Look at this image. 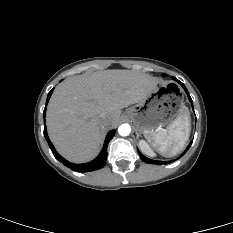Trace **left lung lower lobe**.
<instances>
[{
	"label": "left lung lower lobe",
	"mask_w": 233,
	"mask_h": 233,
	"mask_svg": "<svg viewBox=\"0 0 233 233\" xmlns=\"http://www.w3.org/2000/svg\"><path fill=\"white\" fill-rule=\"evenodd\" d=\"M173 79L176 80V81L184 88L185 92H186L187 95H188V99H189V101L191 102V104H192V106H193V101H192V99H191V97H190V95H189V93H188L186 87L184 86V84H183L182 82H180L179 80H177L176 78H174V77H173ZM192 142H193V140L190 142V144L188 145V147H187L186 150L182 153L181 156H183V155L187 152V150H188L189 147L191 146ZM137 151H138V153H139L141 159H142L144 162L149 163V164L162 165V164H168V163L174 162V160L164 161V162H163V161L152 160V159H149V158L145 157L138 149H137ZM181 156H180V157H181ZM180 157H179V158H180ZM179 158H177V159H179Z\"/></svg>",
	"instance_id": "left-lung-lower-lobe-1"
}]
</instances>
